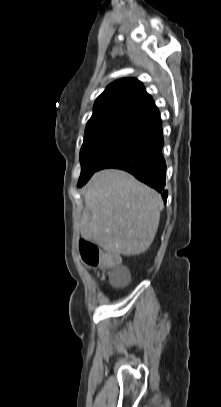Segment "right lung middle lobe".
Listing matches in <instances>:
<instances>
[{"instance_id": "1", "label": "right lung middle lobe", "mask_w": 221, "mask_h": 407, "mask_svg": "<svg viewBox=\"0 0 221 407\" xmlns=\"http://www.w3.org/2000/svg\"><path fill=\"white\" fill-rule=\"evenodd\" d=\"M137 129V126L120 125L86 134L80 151L82 169L77 186L82 187L118 146Z\"/></svg>"}]
</instances>
